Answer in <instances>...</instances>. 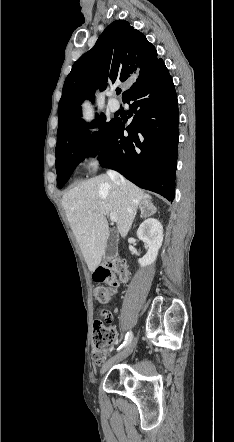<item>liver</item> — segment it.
Instances as JSON below:
<instances>
[{"mask_svg": "<svg viewBox=\"0 0 234 442\" xmlns=\"http://www.w3.org/2000/svg\"><path fill=\"white\" fill-rule=\"evenodd\" d=\"M151 196L133 183L116 184L108 175L86 180L63 195L62 206L91 272L102 261L109 227L107 216L117 215L118 233L126 237L138 205H150Z\"/></svg>", "mask_w": 234, "mask_h": 442, "instance_id": "obj_1", "label": "liver"}]
</instances>
